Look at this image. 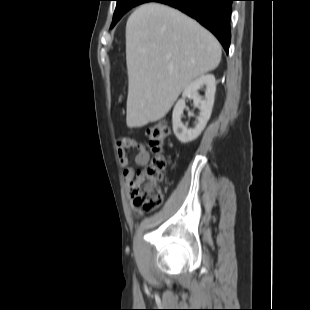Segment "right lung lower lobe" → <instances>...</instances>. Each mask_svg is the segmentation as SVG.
<instances>
[{
  "label": "right lung lower lobe",
  "instance_id": "obj_1",
  "mask_svg": "<svg viewBox=\"0 0 310 310\" xmlns=\"http://www.w3.org/2000/svg\"><path fill=\"white\" fill-rule=\"evenodd\" d=\"M179 9L196 19L220 41L226 53L230 46V18L234 0H152Z\"/></svg>",
  "mask_w": 310,
  "mask_h": 310
}]
</instances>
